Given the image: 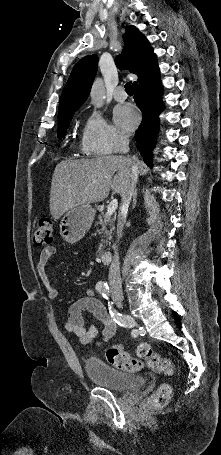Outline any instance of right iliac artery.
Masks as SVG:
<instances>
[{
	"instance_id": "obj_1",
	"label": "right iliac artery",
	"mask_w": 221,
	"mask_h": 455,
	"mask_svg": "<svg viewBox=\"0 0 221 455\" xmlns=\"http://www.w3.org/2000/svg\"><path fill=\"white\" fill-rule=\"evenodd\" d=\"M96 290L102 294V296L108 300V296H109V286L107 285V283H103V282H98L96 284ZM108 305H109V309H110V314H111V317L113 318V320L119 324L120 326H124L126 329H130L131 332H130V337H139V331L138 329H134L130 323V321L128 320V317L126 315H123L121 314L120 312H118L117 310L115 309H112V306H113V302H108Z\"/></svg>"
}]
</instances>
